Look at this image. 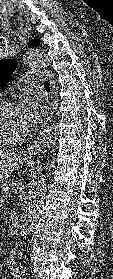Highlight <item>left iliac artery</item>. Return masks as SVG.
Instances as JSON below:
<instances>
[{
  "label": "left iliac artery",
  "mask_w": 113,
  "mask_h": 279,
  "mask_svg": "<svg viewBox=\"0 0 113 279\" xmlns=\"http://www.w3.org/2000/svg\"><path fill=\"white\" fill-rule=\"evenodd\" d=\"M18 279H22V273L18 272L14 275Z\"/></svg>",
  "instance_id": "1"
}]
</instances>
